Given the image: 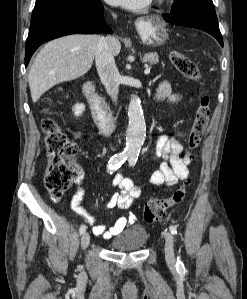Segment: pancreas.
I'll use <instances>...</instances> for the list:
<instances>
[{"label":"pancreas","mask_w":247,"mask_h":299,"mask_svg":"<svg viewBox=\"0 0 247 299\" xmlns=\"http://www.w3.org/2000/svg\"><path fill=\"white\" fill-rule=\"evenodd\" d=\"M143 61L153 65V64L158 63L159 56L157 53H153V52L146 53L143 57Z\"/></svg>","instance_id":"cf45deb5"}]
</instances>
